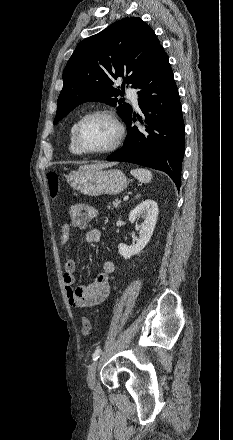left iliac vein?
I'll return each mask as SVG.
<instances>
[{
  "mask_svg": "<svg viewBox=\"0 0 233 440\" xmlns=\"http://www.w3.org/2000/svg\"><path fill=\"white\" fill-rule=\"evenodd\" d=\"M98 364H99V361L96 360L88 368L87 383L90 388H93L95 386V375H96V370H97Z\"/></svg>",
  "mask_w": 233,
  "mask_h": 440,
  "instance_id": "obj_1",
  "label": "left iliac vein"
}]
</instances>
